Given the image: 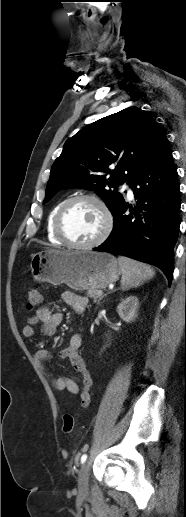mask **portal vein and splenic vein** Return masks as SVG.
<instances>
[{
  "label": "portal vein and splenic vein",
  "instance_id": "18ae733b",
  "mask_svg": "<svg viewBox=\"0 0 186 517\" xmlns=\"http://www.w3.org/2000/svg\"><path fill=\"white\" fill-rule=\"evenodd\" d=\"M98 295H103V291L99 290Z\"/></svg>",
  "mask_w": 186,
  "mask_h": 517
}]
</instances>
